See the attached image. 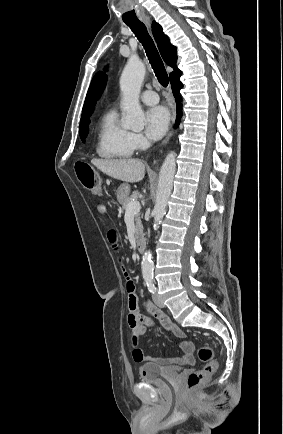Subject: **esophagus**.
Returning <instances> with one entry per match:
<instances>
[{
  "label": "esophagus",
  "mask_w": 283,
  "mask_h": 434,
  "mask_svg": "<svg viewBox=\"0 0 283 434\" xmlns=\"http://www.w3.org/2000/svg\"><path fill=\"white\" fill-rule=\"evenodd\" d=\"M144 21H145V23H146L147 25H150V23H151L150 18H148V17H146V18L144 19ZM171 136H172V131L167 135V137H166L165 140L163 141L162 145H165V144L169 141V139H170Z\"/></svg>",
  "instance_id": "34e87169"
}]
</instances>
